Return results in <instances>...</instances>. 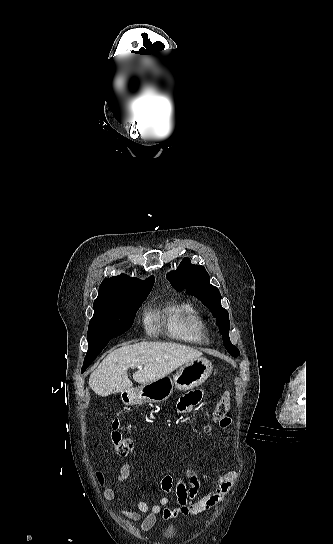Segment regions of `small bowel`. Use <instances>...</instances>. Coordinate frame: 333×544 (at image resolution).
I'll return each instance as SVG.
<instances>
[{
	"label": "small bowel",
	"mask_w": 333,
	"mask_h": 544,
	"mask_svg": "<svg viewBox=\"0 0 333 544\" xmlns=\"http://www.w3.org/2000/svg\"><path fill=\"white\" fill-rule=\"evenodd\" d=\"M203 398V391L200 389L191 391L182 396L177 403V411L182 415H189L199 410ZM222 428L230 424V419L225 417L220 422ZM132 467L124 463L119 470L116 485L109 486L104 490V498L107 502L115 499L116 486L123 483L131 475ZM187 481L178 479L175 483L171 476L166 475L161 481V487L165 493L174 489L177 505L170 506V499L166 496L159 500L158 504L148 505L144 501L137 503V510L118 509L117 513L129 520L140 521V529L147 531L151 529L157 515L162 513L165 519L174 518L179 515H199L212 509L228 493L236 481L238 473L235 470L227 471L219 475L213 485L205 493L200 494V483L193 471L186 472Z\"/></svg>",
	"instance_id": "small-bowel-1"
}]
</instances>
